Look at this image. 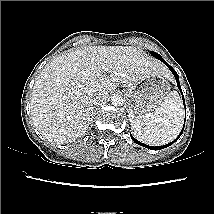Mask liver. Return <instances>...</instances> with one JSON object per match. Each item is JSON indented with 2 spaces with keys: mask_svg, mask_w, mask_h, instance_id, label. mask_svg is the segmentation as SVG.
I'll use <instances>...</instances> for the list:
<instances>
[{
  "mask_svg": "<svg viewBox=\"0 0 214 214\" xmlns=\"http://www.w3.org/2000/svg\"><path fill=\"white\" fill-rule=\"evenodd\" d=\"M157 73L164 65L131 46H86L52 59L35 81L31 116L36 129L51 142L65 144L81 137L93 113L89 93L114 91Z\"/></svg>",
  "mask_w": 214,
  "mask_h": 214,
  "instance_id": "liver-1",
  "label": "liver"
}]
</instances>
